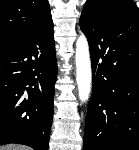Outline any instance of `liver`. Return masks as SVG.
I'll list each match as a JSON object with an SVG mask.
<instances>
[{
	"mask_svg": "<svg viewBox=\"0 0 139 150\" xmlns=\"http://www.w3.org/2000/svg\"><path fill=\"white\" fill-rule=\"evenodd\" d=\"M0 150H28V149L23 146H4L0 147Z\"/></svg>",
	"mask_w": 139,
	"mask_h": 150,
	"instance_id": "6515ba94",
	"label": "liver"
}]
</instances>
